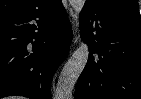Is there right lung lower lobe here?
<instances>
[{
	"instance_id": "1",
	"label": "right lung lower lobe",
	"mask_w": 141,
	"mask_h": 99,
	"mask_svg": "<svg viewBox=\"0 0 141 99\" xmlns=\"http://www.w3.org/2000/svg\"><path fill=\"white\" fill-rule=\"evenodd\" d=\"M71 39L61 0L0 18V98L52 99V76L66 58Z\"/></svg>"
}]
</instances>
